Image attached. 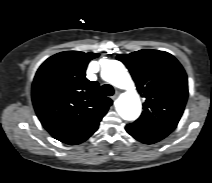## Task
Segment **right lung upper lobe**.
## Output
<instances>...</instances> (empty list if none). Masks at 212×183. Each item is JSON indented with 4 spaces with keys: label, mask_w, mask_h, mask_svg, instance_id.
I'll list each match as a JSON object with an SVG mask.
<instances>
[{
    "label": "right lung upper lobe",
    "mask_w": 212,
    "mask_h": 183,
    "mask_svg": "<svg viewBox=\"0 0 212 183\" xmlns=\"http://www.w3.org/2000/svg\"><path fill=\"white\" fill-rule=\"evenodd\" d=\"M96 53L66 51L48 58L32 85V101L45 129L57 140L76 145L88 139L107 113L112 100L96 81L85 77Z\"/></svg>",
    "instance_id": "1"
}]
</instances>
